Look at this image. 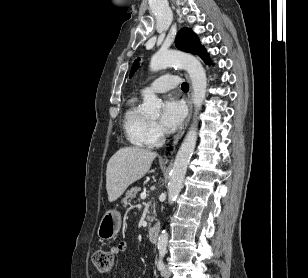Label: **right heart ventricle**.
Returning a JSON list of instances; mask_svg holds the SVG:
<instances>
[{
  "mask_svg": "<svg viewBox=\"0 0 308 278\" xmlns=\"http://www.w3.org/2000/svg\"><path fill=\"white\" fill-rule=\"evenodd\" d=\"M150 121L139 110L138 99H129L124 113L123 126L128 140L135 146H150L148 139Z\"/></svg>",
  "mask_w": 308,
  "mask_h": 278,
  "instance_id": "1",
  "label": "right heart ventricle"
}]
</instances>
